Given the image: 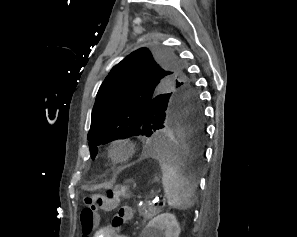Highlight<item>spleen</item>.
Segmentation results:
<instances>
[{"mask_svg":"<svg viewBox=\"0 0 297 237\" xmlns=\"http://www.w3.org/2000/svg\"><path fill=\"white\" fill-rule=\"evenodd\" d=\"M162 184L170 207L187 210L194 204L195 186L182 173L179 167H173L172 161L160 159Z\"/></svg>","mask_w":297,"mask_h":237,"instance_id":"obj_1","label":"spleen"}]
</instances>
